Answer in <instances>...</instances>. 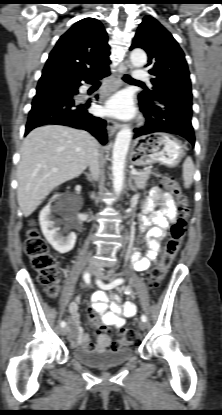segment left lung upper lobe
I'll use <instances>...</instances> for the list:
<instances>
[{"mask_svg":"<svg viewBox=\"0 0 222 415\" xmlns=\"http://www.w3.org/2000/svg\"><path fill=\"white\" fill-rule=\"evenodd\" d=\"M142 48L148 55L149 73L152 75V90H146L139 94V99L144 102H152L160 83L166 79L189 78V70L185 55L173 38L155 18L145 16L134 37L131 49ZM176 101L171 100L167 106L169 110L176 109Z\"/></svg>","mask_w":222,"mask_h":415,"instance_id":"1","label":"left lung upper lobe"}]
</instances>
